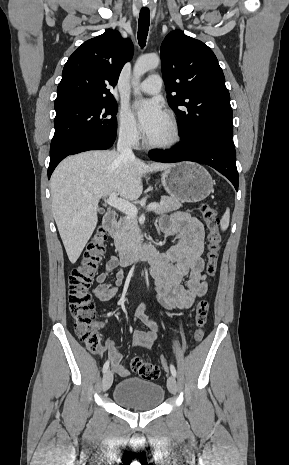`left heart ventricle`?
Here are the masks:
<instances>
[{
  "label": "left heart ventricle",
  "mask_w": 289,
  "mask_h": 465,
  "mask_svg": "<svg viewBox=\"0 0 289 465\" xmlns=\"http://www.w3.org/2000/svg\"><path fill=\"white\" fill-rule=\"evenodd\" d=\"M168 135H169V126L165 118L160 128L156 132L148 136V139H150L151 141H163L168 137Z\"/></svg>",
  "instance_id": "1"
}]
</instances>
